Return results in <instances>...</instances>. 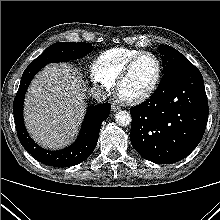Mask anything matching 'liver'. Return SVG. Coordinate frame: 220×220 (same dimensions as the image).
<instances>
[{
    "label": "liver",
    "mask_w": 220,
    "mask_h": 220,
    "mask_svg": "<svg viewBox=\"0 0 220 220\" xmlns=\"http://www.w3.org/2000/svg\"><path fill=\"white\" fill-rule=\"evenodd\" d=\"M86 83L65 63L46 66L33 79L24 104L31 137L42 147L58 149L77 133L86 110Z\"/></svg>",
    "instance_id": "1"
}]
</instances>
